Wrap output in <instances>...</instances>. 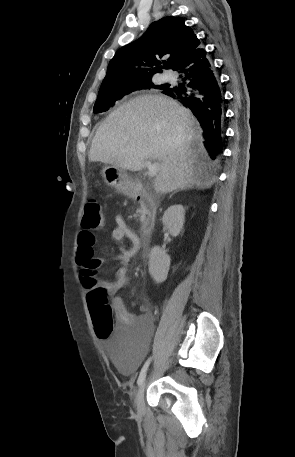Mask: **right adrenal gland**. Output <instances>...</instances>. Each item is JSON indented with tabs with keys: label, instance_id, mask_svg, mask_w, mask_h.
<instances>
[{
	"label": "right adrenal gland",
	"instance_id": "obj_1",
	"mask_svg": "<svg viewBox=\"0 0 295 457\" xmlns=\"http://www.w3.org/2000/svg\"><path fill=\"white\" fill-rule=\"evenodd\" d=\"M188 189H193V186H188V187H185V188H183V189H181V190H188ZM171 196H172V195H171ZM171 196H170V197H171Z\"/></svg>",
	"mask_w": 295,
	"mask_h": 457
}]
</instances>
